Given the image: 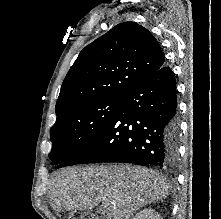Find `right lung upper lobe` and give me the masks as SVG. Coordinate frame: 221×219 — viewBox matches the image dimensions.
I'll return each mask as SVG.
<instances>
[{"label": "right lung upper lobe", "instance_id": "right-lung-upper-lobe-1", "mask_svg": "<svg viewBox=\"0 0 221 219\" xmlns=\"http://www.w3.org/2000/svg\"><path fill=\"white\" fill-rule=\"evenodd\" d=\"M164 64L160 45L147 29L135 22L118 24L80 52L63 81L56 115L85 102L122 98Z\"/></svg>", "mask_w": 221, "mask_h": 219}]
</instances>
